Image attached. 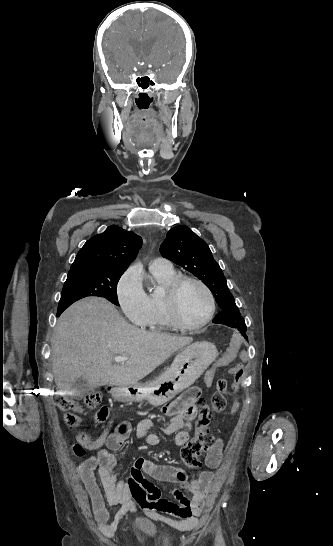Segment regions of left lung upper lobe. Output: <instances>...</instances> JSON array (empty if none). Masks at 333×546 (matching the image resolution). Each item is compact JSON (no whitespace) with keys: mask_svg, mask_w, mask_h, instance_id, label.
<instances>
[{"mask_svg":"<svg viewBox=\"0 0 333 546\" xmlns=\"http://www.w3.org/2000/svg\"><path fill=\"white\" fill-rule=\"evenodd\" d=\"M160 253L198 277L211 290L220 312H224L230 322L238 327L246 326L219 264L205 241L191 229L187 226L170 229L160 247Z\"/></svg>","mask_w":333,"mask_h":546,"instance_id":"obj_1","label":"left lung upper lobe"}]
</instances>
